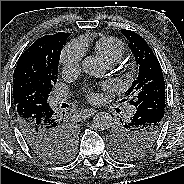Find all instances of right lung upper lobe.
<instances>
[{
  "label": "right lung upper lobe",
  "instance_id": "cb5924a9",
  "mask_svg": "<svg viewBox=\"0 0 184 184\" xmlns=\"http://www.w3.org/2000/svg\"><path fill=\"white\" fill-rule=\"evenodd\" d=\"M71 33L58 32L54 35H46L37 39L18 59L16 69L28 60H45L49 59L53 46L56 42L65 45L66 39Z\"/></svg>",
  "mask_w": 184,
  "mask_h": 184
}]
</instances>
